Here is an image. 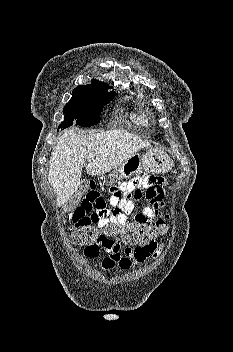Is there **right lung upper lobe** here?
<instances>
[{
  "instance_id": "1",
  "label": "right lung upper lobe",
  "mask_w": 233,
  "mask_h": 352,
  "mask_svg": "<svg viewBox=\"0 0 233 352\" xmlns=\"http://www.w3.org/2000/svg\"><path fill=\"white\" fill-rule=\"evenodd\" d=\"M87 87H97V88L104 89L106 91H107V89L111 88L107 84H105L103 82H100L99 80H92V84H89V85H86V86L80 85V86L76 87L73 90V94L78 93L79 91H81L82 89L87 88Z\"/></svg>"
}]
</instances>
